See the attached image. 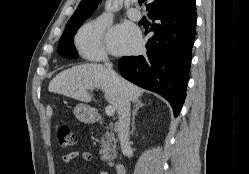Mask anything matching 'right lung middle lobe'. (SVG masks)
I'll return each mask as SVG.
<instances>
[{"mask_svg":"<svg viewBox=\"0 0 249 174\" xmlns=\"http://www.w3.org/2000/svg\"><path fill=\"white\" fill-rule=\"evenodd\" d=\"M84 21L71 22L66 25V28L60 38L58 53L65 58H78L75 50L73 39L79 27Z\"/></svg>","mask_w":249,"mask_h":174,"instance_id":"1","label":"right lung middle lobe"}]
</instances>
